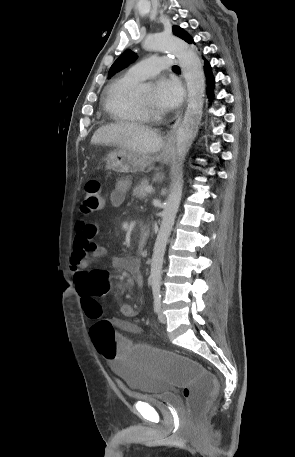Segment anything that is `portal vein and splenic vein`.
I'll return each instance as SVG.
<instances>
[{
  "instance_id": "portal-vein-and-splenic-vein-1",
  "label": "portal vein and splenic vein",
  "mask_w": 295,
  "mask_h": 457,
  "mask_svg": "<svg viewBox=\"0 0 295 457\" xmlns=\"http://www.w3.org/2000/svg\"><path fill=\"white\" fill-rule=\"evenodd\" d=\"M153 191V187L152 186H147L145 188V193L148 194V193H151Z\"/></svg>"
}]
</instances>
